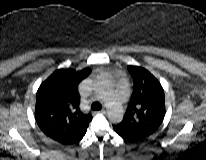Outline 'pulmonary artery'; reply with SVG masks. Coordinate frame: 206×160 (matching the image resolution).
<instances>
[{"label": "pulmonary artery", "mask_w": 206, "mask_h": 160, "mask_svg": "<svg viewBox=\"0 0 206 160\" xmlns=\"http://www.w3.org/2000/svg\"><path fill=\"white\" fill-rule=\"evenodd\" d=\"M126 86L125 84L121 83L118 85L117 90H116V97L119 101H123L126 97Z\"/></svg>", "instance_id": "obj_1"}]
</instances>
